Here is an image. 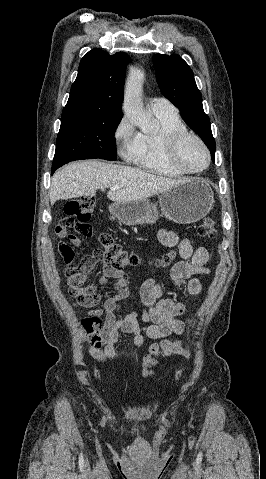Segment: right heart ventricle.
I'll list each match as a JSON object with an SVG mask.
<instances>
[{
	"mask_svg": "<svg viewBox=\"0 0 266 479\" xmlns=\"http://www.w3.org/2000/svg\"><path fill=\"white\" fill-rule=\"evenodd\" d=\"M154 113L160 128L154 133L138 134V146L133 163L156 175L179 177L183 173L175 169L166 159L165 138L170 132L186 131L187 128L177 113Z\"/></svg>",
	"mask_w": 266,
	"mask_h": 479,
	"instance_id": "obj_1",
	"label": "right heart ventricle"
}]
</instances>
